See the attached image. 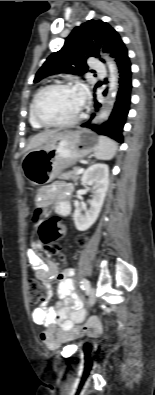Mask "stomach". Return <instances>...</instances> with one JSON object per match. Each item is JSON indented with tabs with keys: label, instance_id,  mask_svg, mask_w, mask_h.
<instances>
[{
	"label": "stomach",
	"instance_id": "stomach-1",
	"mask_svg": "<svg viewBox=\"0 0 155 395\" xmlns=\"http://www.w3.org/2000/svg\"><path fill=\"white\" fill-rule=\"evenodd\" d=\"M99 137L84 129L58 133L51 141L28 151L22 160L27 180L36 186L51 182L78 159L96 151Z\"/></svg>",
	"mask_w": 155,
	"mask_h": 395
}]
</instances>
